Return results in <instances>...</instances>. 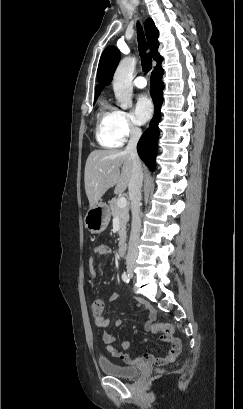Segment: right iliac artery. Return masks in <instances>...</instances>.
Here are the masks:
<instances>
[{"mask_svg":"<svg viewBox=\"0 0 243 409\" xmlns=\"http://www.w3.org/2000/svg\"><path fill=\"white\" fill-rule=\"evenodd\" d=\"M122 280H123L124 282H126V283H129V281H130V276H129V274L126 273V272H124V273L122 274Z\"/></svg>","mask_w":243,"mask_h":409,"instance_id":"obj_1","label":"right iliac artery"}]
</instances>
